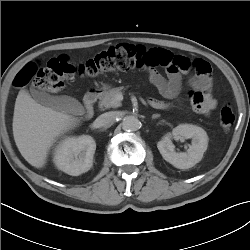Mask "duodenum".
Wrapping results in <instances>:
<instances>
[{
  "label": "duodenum",
  "mask_w": 250,
  "mask_h": 250,
  "mask_svg": "<svg viewBox=\"0 0 250 250\" xmlns=\"http://www.w3.org/2000/svg\"><path fill=\"white\" fill-rule=\"evenodd\" d=\"M102 91L98 88H92L90 89L85 97H84V104H85V108H86V117L90 118L93 113H94V105L97 102V100L99 99L100 95H101ZM149 104L151 107L155 108V109H159L160 104L158 101L156 100H150Z\"/></svg>",
  "instance_id": "1"
}]
</instances>
